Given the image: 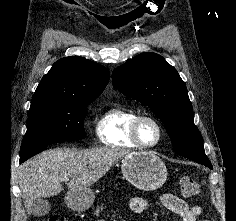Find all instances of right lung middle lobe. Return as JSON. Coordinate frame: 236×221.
Returning a JSON list of instances; mask_svg holds the SVG:
<instances>
[{
	"instance_id": "dd1d6c3e",
	"label": "right lung middle lobe",
	"mask_w": 236,
	"mask_h": 221,
	"mask_svg": "<svg viewBox=\"0 0 236 221\" xmlns=\"http://www.w3.org/2000/svg\"><path fill=\"white\" fill-rule=\"evenodd\" d=\"M90 102L32 100L20 154L53 143L84 138V114Z\"/></svg>"
}]
</instances>
